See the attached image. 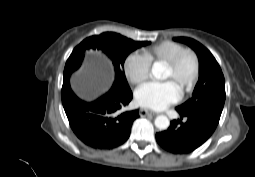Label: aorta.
I'll use <instances>...</instances> for the list:
<instances>
[{"mask_svg": "<svg viewBox=\"0 0 255 177\" xmlns=\"http://www.w3.org/2000/svg\"><path fill=\"white\" fill-rule=\"evenodd\" d=\"M163 69L160 65L154 64L152 67V75L156 79L162 78ZM170 125L169 119L165 115H159L155 119V126L160 130H166Z\"/></svg>", "mask_w": 255, "mask_h": 177, "instance_id": "762f6f07", "label": "aorta"}]
</instances>
